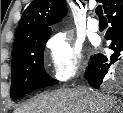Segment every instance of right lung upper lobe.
Masks as SVG:
<instances>
[{"label":"right lung upper lobe","mask_w":123,"mask_h":113,"mask_svg":"<svg viewBox=\"0 0 123 113\" xmlns=\"http://www.w3.org/2000/svg\"><path fill=\"white\" fill-rule=\"evenodd\" d=\"M111 2L112 0H100L105 13ZM66 11L65 0H33L19 22L13 50L28 40L49 35L50 26L60 21Z\"/></svg>","instance_id":"cb5924a9"}]
</instances>
